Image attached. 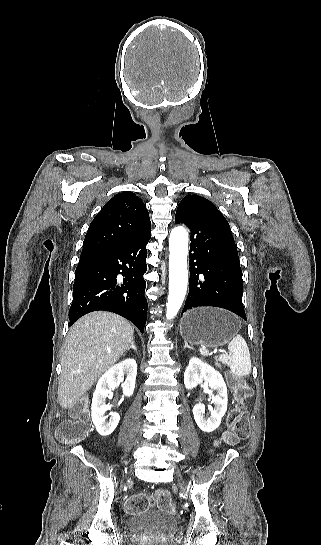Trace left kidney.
Listing matches in <instances>:
<instances>
[{
	"label": "left kidney",
	"mask_w": 321,
	"mask_h": 545,
	"mask_svg": "<svg viewBox=\"0 0 321 545\" xmlns=\"http://www.w3.org/2000/svg\"><path fill=\"white\" fill-rule=\"evenodd\" d=\"M202 381L209 383V387L212 389V391H208V401H210L211 405H214V409H210V417L209 419H205V405L198 403V405L193 407V415L201 431L212 433V431L218 429L221 419L227 411V387L222 375L218 371H215L213 367H210L207 363H203L197 357H192L184 373V385L186 389H194ZM213 391H216L217 395H213Z\"/></svg>",
	"instance_id": "obj_1"
}]
</instances>
